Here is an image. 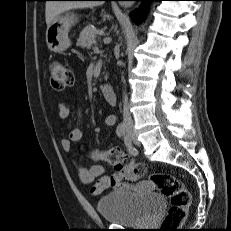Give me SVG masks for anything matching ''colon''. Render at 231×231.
I'll return each instance as SVG.
<instances>
[{"mask_svg":"<svg viewBox=\"0 0 231 231\" xmlns=\"http://www.w3.org/2000/svg\"><path fill=\"white\" fill-rule=\"evenodd\" d=\"M50 81L54 89L63 91L74 84L70 69L61 61L50 63ZM95 160H102L113 165L115 171L123 175L124 179L136 181L148 175L147 167L143 163H135L132 158L120 148L109 150H95L91 153ZM149 179L170 201V208L161 225V231H176L185 221L191 204V196L183 183L176 177L165 172L149 174Z\"/></svg>","mask_w":231,"mask_h":231,"instance_id":"colon-1","label":"colon"}]
</instances>
